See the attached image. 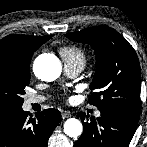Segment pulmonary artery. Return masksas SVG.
<instances>
[{
    "instance_id": "e3ab8cb5",
    "label": "pulmonary artery",
    "mask_w": 147,
    "mask_h": 147,
    "mask_svg": "<svg viewBox=\"0 0 147 147\" xmlns=\"http://www.w3.org/2000/svg\"><path fill=\"white\" fill-rule=\"evenodd\" d=\"M82 68L83 66L78 63H65L64 65L65 73L69 77L77 76L81 72ZM44 100H45V97L42 95H32L26 100V105L30 106L31 104L41 103V102H44ZM100 115H101L100 111H97L95 113L96 117H99Z\"/></svg>"
}]
</instances>
